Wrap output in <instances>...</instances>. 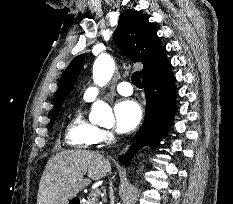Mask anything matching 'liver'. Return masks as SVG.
Wrapping results in <instances>:
<instances>
[{
  "label": "liver",
  "mask_w": 233,
  "mask_h": 204,
  "mask_svg": "<svg viewBox=\"0 0 233 204\" xmlns=\"http://www.w3.org/2000/svg\"><path fill=\"white\" fill-rule=\"evenodd\" d=\"M110 171V162L99 153L80 149L56 153L41 176L37 204H67L91 180L103 179Z\"/></svg>",
  "instance_id": "6515ba94"
}]
</instances>
